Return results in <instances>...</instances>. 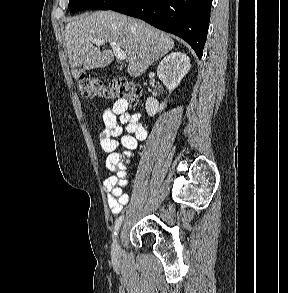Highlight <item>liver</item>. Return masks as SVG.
Masks as SVG:
<instances>
[{"label": "liver", "instance_id": "6515ba94", "mask_svg": "<svg viewBox=\"0 0 288 293\" xmlns=\"http://www.w3.org/2000/svg\"><path fill=\"white\" fill-rule=\"evenodd\" d=\"M64 35V47L76 80L86 70L104 68L114 59L110 49L95 47L92 38L119 45L126 52L127 72L132 77L142 75L174 47V41L166 33L142 20L113 11H97L73 18L66 25Z\"/></svg>", "mask_w": 288, "mask_h": 293}]
</instances>
